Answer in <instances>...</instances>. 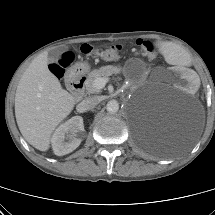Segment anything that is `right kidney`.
<instances>
[{"mask_svg":"<svg viewBox=\"0 0 215 215\" xmlns=\"http://www.w3.org/2000/svg\"><path fill=\"white\" fill-rule=\"evenodd\" d=\"M84 132L83 118L74 116L61 124L54 132L51 143L57 156L74 151L81 143Z\"/></svg>","mask_w":215,"mask_h":215,"instance_id":"right-kidney-1","label":"right kidney"}]
</instances>
